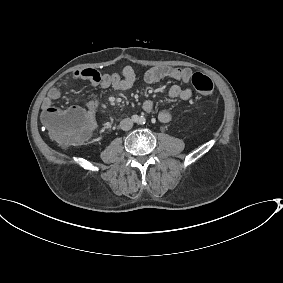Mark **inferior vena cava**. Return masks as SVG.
I'll use <instances>...</instances> for the list:
<instances>
[{
  "instance_id": "inferior-vena-cava-1",
  "label": "inferior vena cava",
  "mask_w": 283,
  "mask_h": 283,
  "mask_svg": "<svg viewBox=\"0 0 283 283\" xmlns=\"http://www.w3.org/2000/svg\"><path fill=\"white\" fill-rule=\"evenodd\" d=\"M120 127L124 131H128L133 127V121L130 118H125L120 122Z\"/></svg>"
}]
</instances>
